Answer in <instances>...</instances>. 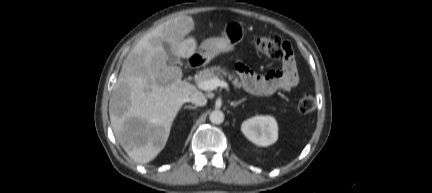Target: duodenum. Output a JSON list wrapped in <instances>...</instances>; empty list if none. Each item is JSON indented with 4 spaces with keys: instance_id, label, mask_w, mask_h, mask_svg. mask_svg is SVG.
Here are the masks:
<instances>
[{
    "instance_id": "1",
    "label": "duodenum",
    "mask_w": 432,
    "mask_h": 193,
    "mask_svg": "<svg viewBox=\"0 0 432 193\" xmlns=\"http://www.w3.org/2000/svg\"><path fill=\"white\" fill-rule=\"evenodd\" d=\"M191 62H192L193 65H198L199 64V58L198 57H193L191 59Z\"/></svg>"
}]
</instances>
